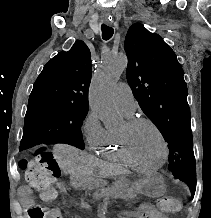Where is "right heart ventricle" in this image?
Instances as JSON below:
<instances>
[{
	"label": "right heart ventricle",
	"mask_w": 211,
	"mask_h": 218,
	"mask_svg": "<svg viewBox=\"0 0 211 218\" xmlns=\"http://www.w3.org/2000/svg\"><path fill=\"white\" fill-rule=\"evenodd\" d=\"M124 113L127 117L132 116V114ZM95 154H100L107 159L116 161L118 165L126 163L127 169H132L131 161L122 148L117 131L106 130L102 140L95 147Z\"/></svg>",
	"instance_id": "obj_1"
}]
</instances>
